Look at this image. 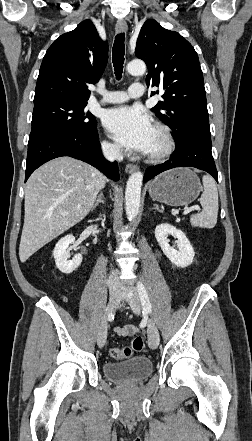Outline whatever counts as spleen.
<instances>
[{
  "label": "spleen",
  "mask_w": 252,
  "mask_h": 441,
  "mask_svg": "<svg viewBox=\"0 0 252 441\" xmlns=\"http://www.w3.org/2000/svg\"><path fill=\"white\" fill-rule=\"evenodd\" d=\"M203 193L200 198L202 212L190 217V223L194 227L213 228L217 223L218 216V191L213 178L203 176Z\"/></svg>",
  "instance_id": "1"
}]
</instances>
